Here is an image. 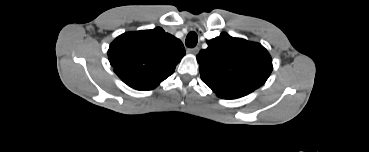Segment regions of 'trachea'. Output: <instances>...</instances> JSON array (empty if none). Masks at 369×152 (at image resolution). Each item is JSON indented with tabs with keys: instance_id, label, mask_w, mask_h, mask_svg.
<instances>
[{
	"instance_id": "1",
	"label": "trachea",
	"mask_w": 369,
	"mask_h": 152,
	"mask_svg": "<svg viewBox=\"0 0 369 152\" xmlns=\"http://www.w3.org/2000/svg\"><path fill=\"white\" fill-rule=\"evenodd\" d=\"M198 42V36L195 32H190L187 37H186V41L185 44L187 47L189 48H193L197 45Z\"/></svg>"
}]
</instances>
